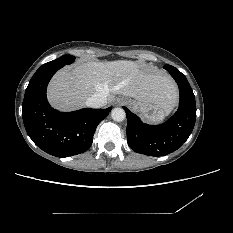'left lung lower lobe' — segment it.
<instances>
[{"label": "left lung lower lobe", "instance_id": "left-lung-lower-lobe-1", "mask_svg": "<svg viewBox=\"0 0 233 233\" xmlns=\"http://www.w3.org/2000/svg\"><path fill=\"white\" fill-rule=\"evenodd\" d=\"M164 68L179 86L178 111L165 123L147 125L123 107L127 115V143L144 155L163 156L179 149L190 136L196 121V104L192 88L184 74L171 65Z\"/></svg>", "mask_w": 233, "mask_h": 233}]
</instances>
